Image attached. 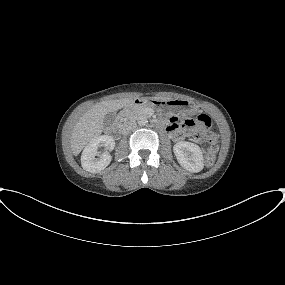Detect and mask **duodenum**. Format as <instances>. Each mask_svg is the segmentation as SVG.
Wrapping results in <instances>:
<instances>
[{"instance_id":"410a0bca","label":"duodenum","mask_w":285,"mask_h":285,"mask_svg":"<svg viewBox=\"0 0 285 285\" xmlns=\"http://www.w3.org/2000/svg\"><path fill=\"white\" fill-rule=\"evenodd\" d=\"M130 104L134 106H143L146 104V101L144 99L136 98L130 102ZM122 130V127L120 124L116 123L111 128V133L114 135H118Z\"/></svg>"}]
</instances>
